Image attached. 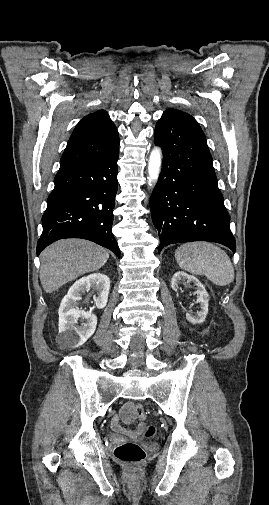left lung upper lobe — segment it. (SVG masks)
Here are the masks:
<instances>
[{
  "instance_id": "5c2ea615",
  "label": "left lung upper lobe",
  "mask_w": 269,
  "mask_h": 505,
  "mask_svg": "<svg viewBox=\"0 0 269 505\" xmlns=\"http://www.w3.org/2000/svg\"><path fill=\"white\" fill-rule=\"evenodd\" d=\"M172 112H180V111L175 110V109H168L164 113H172Z\"/></svg>"
}]
</instances>
